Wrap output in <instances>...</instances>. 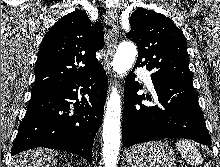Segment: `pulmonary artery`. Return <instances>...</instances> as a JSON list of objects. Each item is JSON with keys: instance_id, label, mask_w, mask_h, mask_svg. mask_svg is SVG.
<instances>
[{"instance_id": "1", "label": "pulmonary artery", "mask_w": 220, "mask_h": 167, "mask_svg": "<svg viewBox=\"0 0 220 167\" xmlns=\"http://www.w3.org/2000/svg\"><path fill=\"white\" fill-rule=\"evenodd\" d=\"M136 73L141 76L143 82L145 83L146 87L148 88L149 91H154V86H153V82L152 79L150 77V75L148 74V72H146L143 69H137Z\"/></svg>"}]
</instances>
